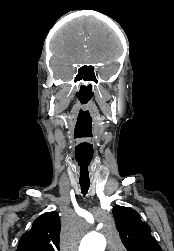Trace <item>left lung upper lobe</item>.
Here are the masks:
<instances>
[{"mask_svg":"<svg viewBox=\"0 0 174 251\" xmlns=\"http://www.w3.org/2000/svg\"><path fill=\"white\" fill-rule=\"evenodd\" d=\"M113 215L127 251H162L151 235L150 226L141 221L134 209L116 205L113 208Z\"/></svg>","mask_w":174,"mask_h":251,"instance_id":"5c2ea615","label":"left lung upper lobe"}]
</instances>
